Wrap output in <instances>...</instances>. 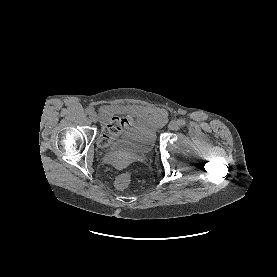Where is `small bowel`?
<instances>
[{
  "instance_id": "obj_1",
  "label": "small bowel",
  "mask_w": 277,
  "mask_h": 277,
  "mask_svg": "<svg viewBox=\"0 0 277 277\" xmlns=\"http://www.w3.org/2000/svg\"><path fill=\"white\" fill-rule=\"evenodd\" d=\"M130 110L136 112L140 116H152L158 125H162L165 123L167 119V114L163 109L160 108H148L142 106H131L129 107Z\"/></svg>"
}]
</instances>
